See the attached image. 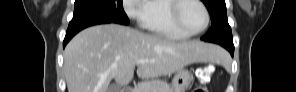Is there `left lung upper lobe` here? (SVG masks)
Segmentation results:
<instances>
[{"instance_id":"left-lung-upper-lobe-1","label":"left lung upper lobe","mask_w":296,"mask_h":92,"mask_svg":"<svg viewBox=\"0 0 296 92\" xmlns=\"http://www.w3.org/2000/svg\"><path fill=\"white\" fill-rule=\"evenodd\" d=\"M211 16V28L202 40L220 45L233 44L231 28L226 15L225 0H202Z\"/></svg>"}]
</instances>
